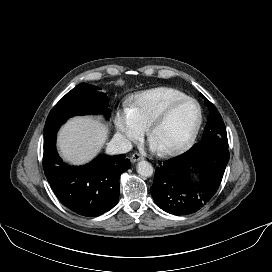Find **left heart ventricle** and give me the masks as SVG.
<instances>
[{"instance_id":"obj_1","label":"left heart ventricle","mask_w":272,"mask_h":272,"mask_svg":"<svg viewBox=\"0 0 272 272\" xmlns=\"http://www.w3.org/2000/svg\"><path fill=\"white\" fill-rule=\"evenodd\" d=\"M197 118V106L192 102L183 103L154 131L151 141L160 150L179 146L191 134Z\"/></svg>"}]
</instances>
